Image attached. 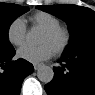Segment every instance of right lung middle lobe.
Instances as JSON below:
<instances>
[{"mask_svg":"<svg viewBox=\"0 0 95 95\" xmlns=\"http://www.w3.org/2000/svg\"><path fill=\"white\" fill-rule=\"evenodd\" d=\"M28 10V7L17 4L0 3V55L14 50V47L8 41L9 27L18 16Z\"/></svg>","mask_w":95,"mask_h":95,"instance_id":"right-lung-middle-lobe-1","label":"right lung middle lobe"}]
</instances>
